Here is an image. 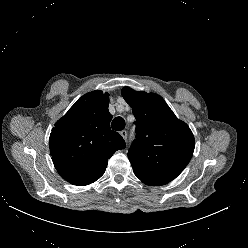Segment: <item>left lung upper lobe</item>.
I'll return each instance as SVG.
<instances>
[{
  "mask_svg": "<svg viewBox=\"0 0 248 248\" xmlns=\"http://www.w3.org/2000/svg\"><path fill=\"white\" fill-rule=\"evenodd\" d=\"M136 118V140L128 151L134 174L145 184L161 186L175 179L189 163L195 139L164 99L129 87L121 91Z\"/></svg>",
  "mask_w": 248,
  "mask_h": 248,
  "instance_id": "left-lung-upper-lobe-1",
  "label": "left lung upper lobe"
}]
</instances>
